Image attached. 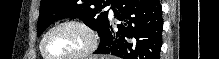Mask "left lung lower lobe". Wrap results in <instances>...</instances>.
Returning a JSON list of instances; mask_svg holds the SVG:
<instances>
[{
  "instance_id": "1",
  "label": "left lung lower lobe",
  "mask_w": 219,
  "mask_h": 59,
  "mask_svg": "<svg viewBox=\"0 0 219 59\" xmlns=\"http://www.w3.org/2000/svg\"><path fill=\"white\" fill-rule=\"evenodd\" d=\"M112 5L114 18L122 23L117 25V30H113L110 20L106 23L94 54L159 59L163 28L159 0H114Z\"/></svg>"
}]
</instances>
